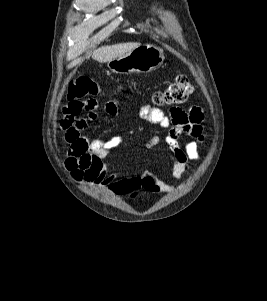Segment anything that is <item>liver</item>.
Here are the masks:
<instances>
[{
    "label": "liver",
    "mask_w": 267,
    "mask_h": 301,
    "mask_svg": "<svg viewBox=\"0 0 267 301\" xmlns=\"http://www.w3.org/2000/svg\"><path fill=\"white\" fill-rule=\"evenodd\" d=\"M138 46H140V43L132 42L103 46L93 52L92 58L100 63H106L117 57L123 56Z\"/></svg>",
    "instance_id": "6515ba94"
}]
</instances>
